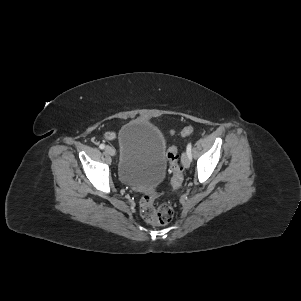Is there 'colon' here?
<instances>
[{
  "label": "colon",
  "mask_w": 301,
  "mask_h": 301,
  "mask_svg": "<svg viewBox=\"0 0 301 301\" xmlns=\"http://www.w3.org/2000/svg\"><path fill=\"white\" fill-rule=\"evenodd\" d=\"M193 131L194 129L192 126H186L182 129L181 135L187 137L190 136ZM167 159L172 173V186L178 188L183 182V171L176 146H171L168 149ZM140 213L141 216L150 223L165 225L172 220L174 209L172 203H165L156 207L154 199L149 195H145L140 200Z\"/></svg>",
  "instance_id": "colon-1"
}]
</instances>
